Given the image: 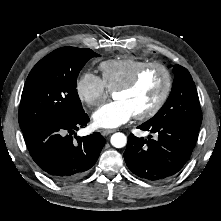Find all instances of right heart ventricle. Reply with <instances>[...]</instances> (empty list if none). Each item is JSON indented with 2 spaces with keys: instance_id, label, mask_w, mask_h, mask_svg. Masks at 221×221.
<instances>
[{
  "instance_id": "1",
  "label": "right heart ventricle",
  "mask_w": 221,
  "mask_h": 221,
  "mask_svg": "<svg viewBox=\"0 0 221 221\" xmlns=\"http://www.w3.org/2000/svg\"><path fill=\"white\" fill-rule=\"evenodd\" d=\"M146 61L135 57L110 59L100 63L101 79L110 90L124 83Z\"/></svg>"
}]
</instances>
